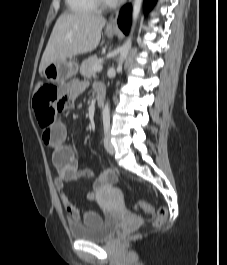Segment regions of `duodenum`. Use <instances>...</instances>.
<instances>
[{
	"mask_svg": "<svg viewBox=\"0 0 227 265\" xmlns=\"http://www.w3.org/2000/svg\"><path fill=\"white\" fill-rule=\"evenodd\" d=\"M105 98V90L103 87H99L96 89V104L97 106H101L104 102Z\"/></svg>",
	"mask_w": 227,
	"mask_h": 265,
	"instance_id": "duodenum-1",
	"label": "duodenum"
}]
</instances>
